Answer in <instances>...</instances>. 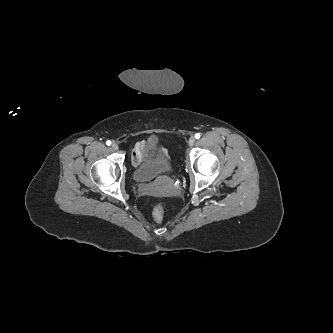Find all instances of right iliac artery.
<instances>
[{
	"instance_id": "obj_1",
	"label": "right iliac artery",
	"mask_w": 333,
	"mask_h": 333,
	"mask_svg": "<svg viewBox=\"0 0 333 333\" xmlns=\"http://www.w3.org/2000/svg\"><path fill=\"white\" fill-rule=\"evenodd\" d=\"M106 144L108 145V146H110L111 145V141H106Z\"/></svg>"
}]
</instances>
